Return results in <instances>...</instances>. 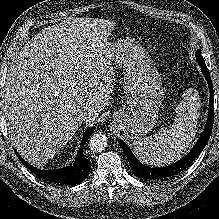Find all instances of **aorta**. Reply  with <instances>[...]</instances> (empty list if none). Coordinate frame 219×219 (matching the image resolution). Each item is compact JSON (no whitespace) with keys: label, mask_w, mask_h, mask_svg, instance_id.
I'll use <instances>...</instances> for the list:
<instances>
[{"label":"aorta","mask_w":219,"mask_h":219,"mask_svg":"<svg viewBox=\"0 0 219 219\" xmlns=\"http://www.w3.org/2000/svg\"><path fill=\"white\" fill-rule=\"evenodd\" d=\"M108 138L102 133L93 134L88 142V146L93 152H101L107 147Z\"/></svg>","instance_id":"1"}]
</instances>
